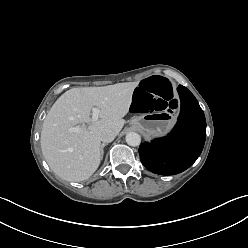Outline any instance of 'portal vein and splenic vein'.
<instances>
[{
  "label": "portal vein and splenic vein",
  "instance_id": "portal-vein-and-splenic-vein-1",
  "mask_svg": "<svg viewBox=\"0 0 248 248\" xmlns=\"http://www.w3.org/2000/svg\"><path fill=\"white\" fill-rule=\"evenodd\" d=\"M99 114H100V110L97 109V108H95V107H93V108H92V118H91V121H96V120H98ZM80 129H81V128H80L79 126H77V127H71V128H69V131H70V132H79Z\"/></svg>",
  "mask_w": 248,
  "mask_h": 248
}]
</instances>
